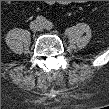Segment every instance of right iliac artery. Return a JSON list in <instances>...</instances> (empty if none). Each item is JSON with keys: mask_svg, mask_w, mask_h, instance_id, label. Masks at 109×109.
I'll return each instance as SVG.
<instances>
[{"mask_svg": "<svg viewBox=\"0 0 109 109\" xmlns=\"http://www.w3.org/2000/svg\"><path fill=\"white\" fill-rule=\"evenodd\" d=\"M36 21L39 22L40 24L46 23V19L43 16H37Z\"/></svg>", "mask_w": 109, "mask_h": 109, "instance_id": "right-iliac-artery-1", "label": "right iliac artery"}]
</instances>
